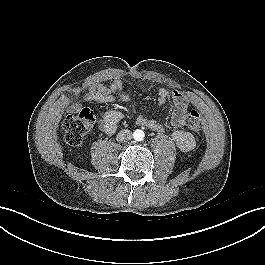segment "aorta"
<instances>
[{
	"mask_svg": "<svg viewBox=\"0 0 265 265\" xmlns=\"http://www.w3.org/2000/svg\"><path fill=\"white\" fill-rule=\"evenodd\" d=\"M133 137L136 141H142L145 137V134L142 130L137 129L134 131Z\"/></svg>",
	"mask_w": 265,
	"mask_h": 265,
	"instance_id": "1",
	"label": "aorta"
}]
</instances>
